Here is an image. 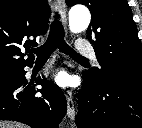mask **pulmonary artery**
I'll use <instances>...</instances> for the list:
<instances>
[{"label": "pulmonary artery", "mask_w": 142, "mask_h": 128, "mask_svg": "<svg viewBox=\"0 0 142 128\" xmlns=\"http://www.w3.org/2000/svg\"><path fill=\"white\" fill-rule=\"evenodd\" d=\"M76 50L79 54L95 58L93 47L85 40H79L76 44Z\"/></svg>", "instance_id": "1"}]
</instances>
